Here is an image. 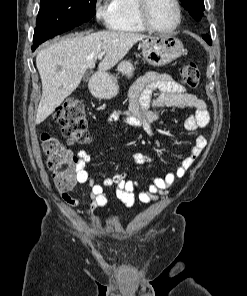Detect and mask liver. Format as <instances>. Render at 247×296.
Here are the masks:
<instances>
[{
    "label": "liver",
    "mask_w": 247,
    "mask_h": 296,
    "mask_svg": "<svg viewBox=\"0 0 247 296\" xmlns=\"http://www.w3.org/2000/svg\"><path fill=\"white\" fill-rule=\"evenodd\" d=\"M147 36L120 31L65 38L41 50L36 66L42 82V96L36 124L43 122L80 84L87 69L95 67L97 56L104 53L99 73L114 67L138 41Z\"/></svg>",
    "instance_id": "liver-1"
}]
</instances>
